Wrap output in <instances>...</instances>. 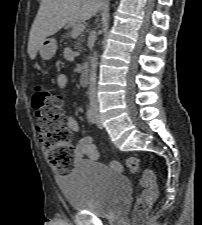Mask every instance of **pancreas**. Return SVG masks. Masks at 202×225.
Masks as SVG:
<instances>
[{
	"mask_svg": "<svg viewBox=\"0 0 202 225\" xmlns=\"http://www.w3.org/2000/svg\"><path fill=\"white\" fill-rule=\"evenodd\" d=\"M66 37L69 38L70 35L67 34ZM80 41H81V39H78V42H75V44L73 45V47H74L75 49L80 50Z\"/></svg>",
	"mask_w": 202,
	"mask_h": 225,
	"instance_id": "pancreas-1",
	"label": "pancreas"
}]
</instances>
